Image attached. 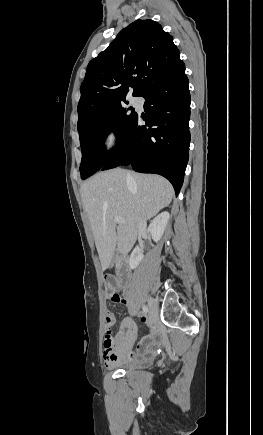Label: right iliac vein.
I'll return each mask as SVG.
<instances>
[{
  "mask_svg": "<svg viewBox=\"0 0 263 435\" xmlns=\"http://www.w3.org/2000/svg\"><path fill=\"white\" fill-rule=\"evenodd\" d=\"M148 305H149V324H153L156 317H157V313H158V309H157V303L153 298H150L148 301Z\"/></svg>",
  "mask_w": 263,
  "mask_h": 435,
  "instance_id": "1",
  "label": "right iliac vein"
}]
</instances>
